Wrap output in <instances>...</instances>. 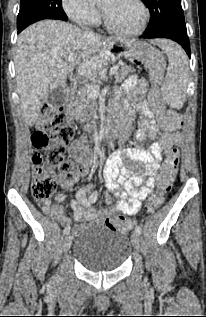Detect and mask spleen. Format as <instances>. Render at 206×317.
I'll list each match as a JSON object with an SVG mask.
<instances>
[{
	"mask_svg": "<svg viewBox=\"0 0 206 317\" xmlns=\"http://www.w3.org/2000/svg\"><path fill=\"white\" fill-rule=\"evenodd\" d=\"M168 57V68L162 83L161 93L164 101L170 107L180 109L186 100L189 67L188 59L183 49L173 41L158 39L153 41Z\"/></svg>",
	"mask_w": 206,
	"mask_h": 317,
	"instance_id": "3e777b00",
	"label": "spleen"
}]
</instances>
